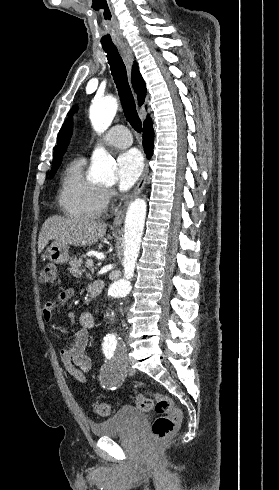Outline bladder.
Masks as SVG:
<instances>
[{
  "label": "bladder",
  "instance_id": "31cf9c89",
  "mask_svg": "<svg viewBox=\"0 0 279 490\" xmlns=\"http://www.w3.org/2000/svg\"><path fill=\"white\" fill-rule=\"evenodd\" d=\"M146 413L133 405H122L113 417L104 421L91 422L90 430L94 437H112L120 432H131L135 425L143 421Z\"/></svg>",
  "mask_w": 279,
  "mask_h": 490
}]
</instances>
